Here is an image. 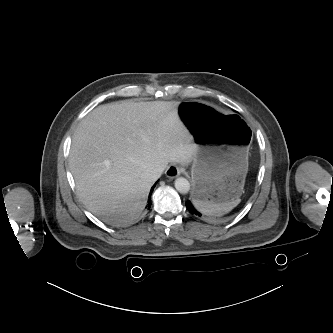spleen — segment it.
I'll return each instance as SVG.
<instances>
[{
    "instance_id": "obj_1",
    "label": "spleen",
    "mask_w": 333,
    "mask_h": 333,
    "mask_svg": "<svg viewBox=\"0 0 333 333\" xmlns=\"http://www.w3.org/2000/svg\"><path fill=\"white\" fill-rule=\"evenodd\" d=\"M240 199L235 201V202H231V203H223V204H217V203H213V202H209V201H203V200H199V199H193V205L195 206V208L205 214V215H209V216H222L228 212H230L233 208H235L239 203H240Z\"/></svg>"
}]
</instances>
